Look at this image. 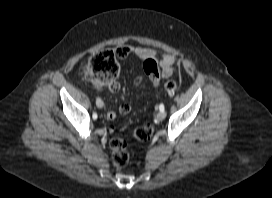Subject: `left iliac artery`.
Here are the masks:
<instances>
[{"instance_id": "44dca946", "label": "left iliac artery", "mask_w": 272, "mask_h": 198, "mask_svg": "<svg viewBox=\"0 0 272 198\" xmlns=\"http://www.w3.org/2000/svg\"><path fill=\"white\" fill-rule=\"evenodd\" d=\"M159 109H160V111H164V105L160 104Z\"/></svg>"}]
</instances>
